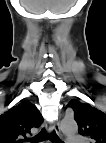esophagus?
Returning a JSON list of instances; mask_svg holds the SVG:
<instances>
[{
    "label": "esophagus",
    "instance_id": "1",
    "mask_svg": "<svg viewBox=\"0 0 106 143\" xmlns=\"http://www.w3.org/2000/svg\"><path fill=\"white\" fill-rule=\"evenodd\" d=\"M47 130H48V133L51 134L53 131H55V133L60 137L62 143L65 142L63 136H62V133H61V130H60V126H59V123L56 122L54 124H49L47 126Z\"/></svg>",
    "mask_w": 106,
    "mask_h": 143
}]
</instances>
